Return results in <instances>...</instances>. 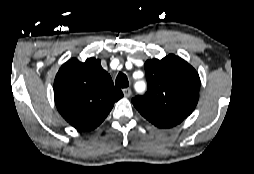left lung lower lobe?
Listing matches in <instances>:
<instances>
[{"mask_svg":"<svg viewBox=\"0 0 254 174\" xmlns=\"http://www.w3.org/2000/svg\"><path fill=\"white\" fill-rule=\"evenodd\" d=\"M149 121L159 128H170L177 125V123H173L170 121H159L154 119H149Z\"/></svg>","mask_w":254,"mask_h":174,"instance_id":"1","label":"left lung lower lobe"}]
</instances>
